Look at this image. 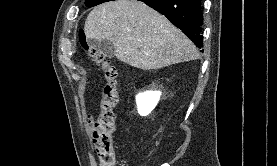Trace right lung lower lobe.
I'll return each instance as SVG.
<instances>
[{"label":"right lung lower lobe","instance_id":"obj_1","mask_svg":"<svg viewBox=\"0 0 277 166\" xmlns=\"http://www.w3.org/2000/svg\"><path fill=\"white\" fill-rule=\"evenodd\" d=\"M112 1V0H111ZM165 15L199 48L203 45L201 0H139Z\"/></svg>","mask_w":277,"mask_h":166}]
</instances>
